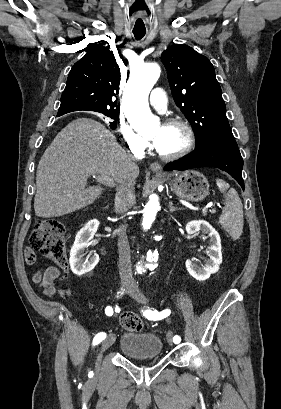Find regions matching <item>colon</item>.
I'll list each match as a JSON object with an SVG mask.
<instances>
[{"instance_id": "1", "label": "colon", "mask_w": 281, "mask_h": 409, "mask_svg": "<svg viewBox=\"0 0 281 409\" xmlns=\"http://www.w3.org/2000/svg\"><path fill=\"white\" fill-rule=\"evenodd\" d=\"M67 221L53 217L39 219L35 231L30 236V247L27 249H40L46 258L52 259L56 264L65 266L67 250L64 231ZM121 325L128 330L138 332L143 328L140 316L128 312L121 316Z\"/></svg>"}]
</instances>
